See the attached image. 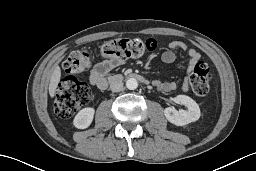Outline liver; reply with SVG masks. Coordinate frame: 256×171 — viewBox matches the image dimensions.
Wrapping results in <instances>:
<instances>
[{
    "instance_id": "obj_1",
    "label": "liver",
    "mask_w": 256,
    "mask_h": 171,
    "mask_svg": "<svg viewBox=\"0 0 256 171\" xmlns=\"http://www.w3.org/2000/svg\"><path fill=\"white\" fill-rule=\"evenodd\" d=\"M60 77H61V70L58 65L54 67L53 73L50 78V83H49V95L50 97H54L56 93V89L58 87V83L60 82Z\"/></svg>"
}]
</instances>
